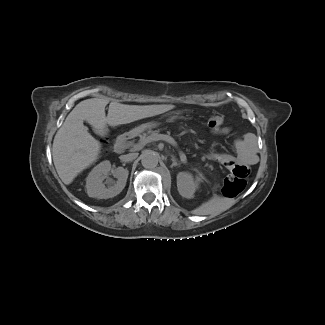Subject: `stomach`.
Listing matches in <instances>:
<instances>
[{"instance_id":"0dacf381","label":"stomach","mask_w":325,"mask_h":325,"mask_svg":"<svg viewBox=\"0 0 325 325\" xmlns=\"http://www.w3.org/2000/svg\"><path fill=\"white\" fill-rule=\"evenodd\" d=\"M173 119H174V117H172L170 120L172 121ZM152 126H153V124L140 126L138 128H135V129L131 130L128 134L130 136H136V135L140 134L141 132H143L146 128H150Z\"/></svg>"}]
</instances>
